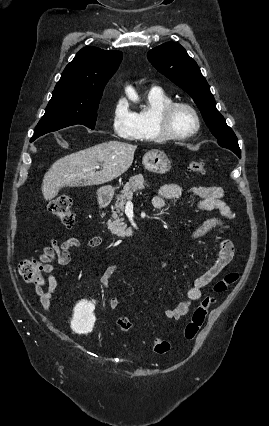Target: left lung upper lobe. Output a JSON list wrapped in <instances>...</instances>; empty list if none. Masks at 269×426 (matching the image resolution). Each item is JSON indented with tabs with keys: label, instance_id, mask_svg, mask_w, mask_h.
<instances>
[{
	"label": "left lung upper lobe",
	"instance_id": "obj_1",
	"mask_svg": "<svg viewBox=\"0 0 269 426\" xmlns=\"http://www.w3.org/2000/svg\"><path fill=\"white\" fill-rule=\"evenodd\" d=\"M147 57L160 73L193 98L218 144L234 153L240 152L235 133L217 110L206 79L186 50L176 42H167L150 50Z\"/></svg>",
	"mask_w": 269,
	"mask_h": 426
}]
</instances>
